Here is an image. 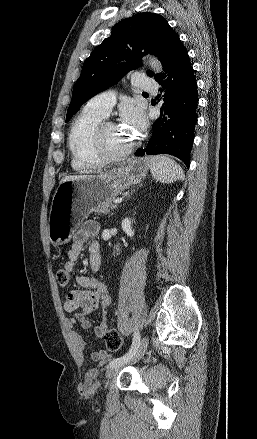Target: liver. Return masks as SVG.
<instances>
[{
    "mask_svg": "<svg viewBox=\"0 0 257 439\" xmlns=\"http://www.w3.org/2000/svg\"><path fill=\"white\" fill-rule=\"evenodd\" d=\"M88 177H92L89 175H74V176H66L64 177L60 183L64 182V181H70V180H75V179H81V178H88Z\"/></svg>",
    "mask_w": 257,
    "mask_h": 439,
    "instance_id": "obj_1",
    "label": "liver"
}]
</instances>
